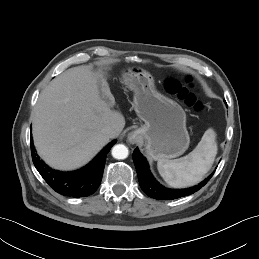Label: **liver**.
Instances as JSON below:
<instances>
[{
  "mask_svg": "<svg viewBox=\"0 0 259 259\" xmlns=\"http://www.w3.org/2000/svg\"><path fill=\"white\" fill-rule=\"evenodd\" d=\"M114 105L103 72L78 66L60 74L41 92L33 110L38 154L59 170L87 164L110 139L104 128L112 126L119 134L125 126Z\"/></svg>",
  "mask_w": 259,
  "mask_h": 259,
  "instance_id": "1",
  "label": "liver"
}]
</instances>
